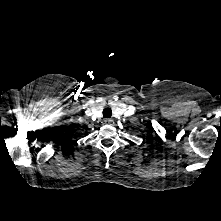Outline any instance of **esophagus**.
Wrapping results in <instances>:
<instances>
[{
	"label": "esophagus",
	"instance_id": "esophagus-1",
	"mask_svg": "<svg viewBox=\"0 0 221 221\" xmlns=\"http://www.w3.org/2000/svg\"><path fill=\"white\" fill-rule=\"evenodd\" d=\"M112 122H113V120H111V119H105L104 120L105 124H112Z\"/></svg>",
	"mask_w": 221,
	"mask_h": 221
}]
</instances>
